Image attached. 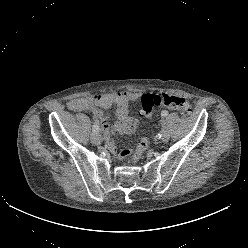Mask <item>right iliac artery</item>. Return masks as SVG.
Instances as JSON below:
<instances>
[{
    "mask_svg": "<svg viewBox=\"0 0 248 248\" xmlns=\"http://www.w3.org/2000/svg\"><path fill=\"white\" fill-rule=\"evenodd\" d=\"M98 130H99L98 123H97V122H94V125H93V132H98Z\"/></svg>",
    "mask_w": 248,
    "mask_h": 248,
    "instance_id": "obj_1",
    "label": "right iliac artery"
}]
</instances>
